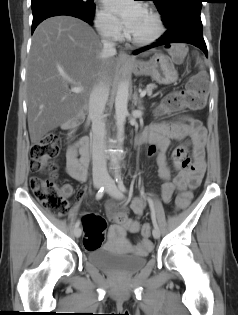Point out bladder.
<instances>
[{
    "label": "bladder",
    "instance_id": "31cf9c89",
    "mask_svg": "<svg viewBox=\"0 0 238 315\" xmlns=\"http://www.w3.org/2000/svg\"><path fill=\"white\" fill-rule=\"evenodd\" d=\"M148 254L111 256L108 248H91L87 250L86 260L95 267L117 275H131L143 268Z\"/></svg>",
    "mask_w": 238,
    "mask_h": 315
}]
</instances>
